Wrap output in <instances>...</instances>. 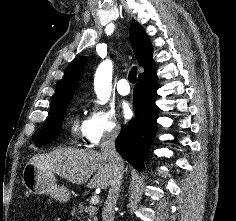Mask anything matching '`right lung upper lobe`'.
I'll use <instances>...</instances> for the list:
<instances>
[{
	"mask_svg": "<svg viewBox=\"0 0 236 221\" xmlns=\"http://www.w3.org/2000/svg\"><path fill=\"white\" fill-rule=\"evenodd\" d=\"M129 34L138 64L144 68V72L140 73L139 76L153 71L155 69L152 59L153 50L148 35L138 23L131 24ZM86 63V57H80L67 67L53 95L50 110L70 101L74 96Z\"/></svg>",
	"mask_w": 236,
	"mask_h": 221,
	"instance_id": "right-lung-upper-lobe-1",
	"label": "right lung upper lobe"
}]
</instances>
